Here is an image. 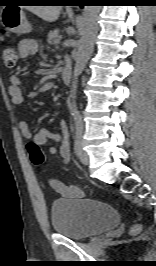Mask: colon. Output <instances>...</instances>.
I'll list each match as a JSON object with an SVG mask.
<instances>
[{
  "instance_id": "5ec220e1",
  "label": "colon",
  "mask_w": 156,
  "mask_h": 266,
  "mask_svg": "<svg viewBox=\"0 0 156 266\" xmlns=\"http://www.w3.org/2000/svg\"><path fill=\"white\" fill-rule=\"evenodd\" d=\"M3 59L8 67L15 65L18 59V51L13 46H6L3 50ZM27 149L30 155L31 162L34 166L41 168L44 165V155L40 147L34 142H30L27 145ZM141 230V226L136 224L130 229L131 234H137Z\"/></svg>"
}]
</instances>
